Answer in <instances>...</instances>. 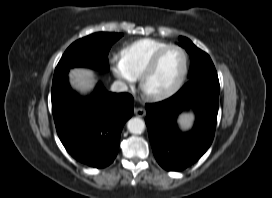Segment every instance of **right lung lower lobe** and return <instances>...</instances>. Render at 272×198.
<instances>
[{"label": "right lung lower lobe", "mask_w": 272, "mask_h": 198, "mask_svg": "<svg viewBox=\"0 0 272 198\" xmlns=\"http://www.w3.org/2000/svg\"><path fill=\"white\" fill-rule=\"evenodd\" d=\"M52 111L57 134L78 161L95 168L111 164L124 123L133 114V97L107 92L99 83L88 98L73 92L67 76L52 83Z\"/></svg>", "instance_id": "1"}]
</instances>
